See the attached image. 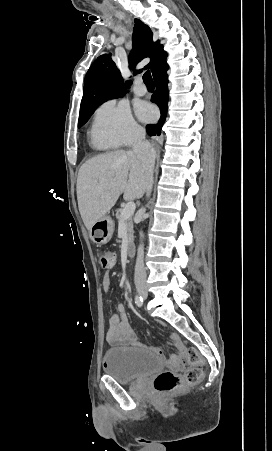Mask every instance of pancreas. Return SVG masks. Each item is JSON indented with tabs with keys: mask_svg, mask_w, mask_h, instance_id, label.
<instances>
[{
	"mask_svg": "<svg viewBox=\"0 0 272 451\" xmlns=\"http://www.w3.org/2000/svg\"><path fill=\"white\" fill-rule=\"evenodd\" d=\"M122 210H117L116 212V218L118 220V222H120V224H124V226H126L127 229V235H128V243H133L134 241V229H133V222H132V218L130 216V218H128V220H123V218H121L120 214H121Z\"/></svg>",
	"mask_w": 272,
	"mask_h": 451,
	"instance_id": "pancreas-1",
	"label": "pancreas"
}]
</instances>
